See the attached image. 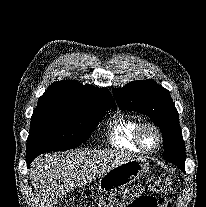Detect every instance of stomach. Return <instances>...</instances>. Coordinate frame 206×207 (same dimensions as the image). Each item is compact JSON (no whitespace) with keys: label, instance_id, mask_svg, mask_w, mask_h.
<instances>
[{"label":"stomach","instance_id":"obj_1","mask_svg":"<svg viewBox=\"0 0 206 207\" xmlns=\"http://www.w3.org/2000/svg\"><path fill=\"white\" fill-rule=\"evenodd\" d=\"M149 162L143 158H134L107 171L99 179L101 192L108 193L121 189L149 172Z\"/></svg>","mask_w":206,"mask_h":207}]
</instances>
